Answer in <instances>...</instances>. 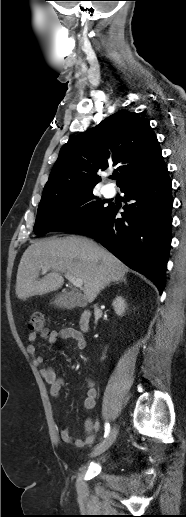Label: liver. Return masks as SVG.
<instances>
[{
  "label": "liver",
  "mask_w": 186,
  "mask_h": 517,
  "mask_svg": "<svg viewBox=\"0 0 186 517\" xmlns=\"http://www.w3.org/2000/svg\"><path fill=\"white\" fill-rule=\"evenodd\" d=\"M43 267H49L51 272L39 280ZM128 270L111 252L90 239L78 236L43 239L23 253L15 291L21 300L56 291L64 283L62 273H68L83 280L85 298L91 303L105 286L122 279Z\"/></svg>",
  "instance_id": "liver-1"
}]
</instances>
